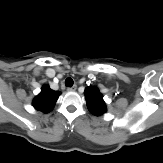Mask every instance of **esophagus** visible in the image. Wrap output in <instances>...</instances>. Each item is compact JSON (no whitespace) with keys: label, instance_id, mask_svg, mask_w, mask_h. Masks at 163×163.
<instances>
[{"label":"esophagus","instance_id":"34e87169","mask_svg":"<svg viewBox=\"0 0 163 163\" xmlns=\"http://www.w3.org/2000/svg\"><path fill=\"white\" fill-rule=\"evenodd\" d=\"M76 89H77V86L74 85L73 87H69V88L67 89V91H69V92H74Z\"/></svg>","mask_w":163,"mask_h":163}]
</instances>
